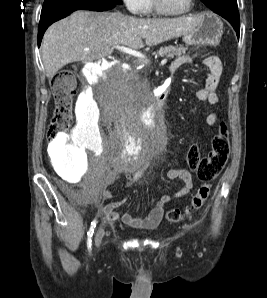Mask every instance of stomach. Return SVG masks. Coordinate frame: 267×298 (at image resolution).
I'll return each instance as SVG.
<instances>
[{
  "label": "stomach",
  "instance_id": "stomach-1",
  "mask_svg": "<svg viewBox=\"0 0 267 298\" xmlns=\"http://www.w3.org/2000/svg\"><path fill=\"white\" fill-rule=\"evenodd\" d=\"M200 23L193 32L183 35L188 45H217L223 35V23L219 17L211 13L199 16Z\"/></svg>",
  "mask_w": 267,
  "mask_h": 298
}]
</instances>
